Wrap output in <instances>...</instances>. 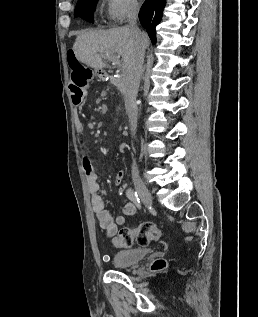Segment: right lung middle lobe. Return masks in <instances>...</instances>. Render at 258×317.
Listing matches in <instances>:
<instances>
[{
	"label": "right lung middle lobe",
	"instance_id": "dd1d6c3e",
	"mask_svg": "<svg viewBox=\"0 0 258 317\" xmlns=\"http://www.w3.org/2000/svg\"><path fill=\"white\" fill-rule=\"evenodd\" d=\"M95 4L96 0H79L75 8L74 17H81L86 21L92 22Z\"/></svg>",
	"mask_w": 258,
	"mask_h": 317
}]
</instances>
